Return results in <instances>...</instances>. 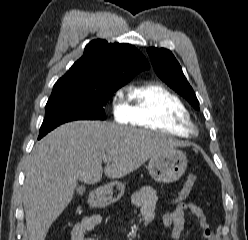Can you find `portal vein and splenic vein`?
<instances>
[{"instance_id":"18ae733b","label":"portal vein and splenic vein","mask_w":248,"mask_h":240,"mask_svg":"<svg viewBox=\"0 0 248 240\" xmlns=\"http://www.w3.org/2000/svg\"><path fill=\"white\" fill-rule=\"evenodd\" d=\"M104 161L107 162V163H110L111 162L110 159H105Z\"/></svg>"}]
</instances>
